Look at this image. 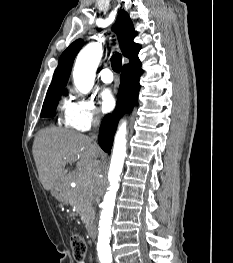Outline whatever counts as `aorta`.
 <instances>
[{
	"label": "aorta",
	"instance_id": "aorta-1",
	"mask_svg": "<svg viewBox=\"0 0 233 263\" xmlns=\"http://www.w3.org/2000/svg\"><path fill=\"white\" fill-rule=\"evenodd\" d=\"M102 57V47L99 43L92 42L84 47L77 56L73 78L76 88L81 93H88L93 87L95 72ZM126 123L123 122L115 135L113 153L109 168V183L102 189L103 201L99 220V235L97 250L101 260L111 259L109 246L111 224L115 206L116 194L119 189V178L123 169L126 155Z\"/></svg>",
	"mask_w": 233,
	"mask_h": 263
}]
</instances>
